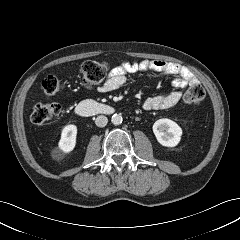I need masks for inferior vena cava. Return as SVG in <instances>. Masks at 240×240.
I'll use <instances>...</instances> for the list:
<instances>
[{
    "label": "inferior vena cava",
    "mask_w": 240,
    "mask_h": 240,
    "mask_svg": "<svg viewBox=\"0 0 240 240\" xmlns=\"http://www.w3.org/2000/svg\"><path fill=\"white\" fill-rule=\"evenodd\" d=\"M107 123H108V119L104 115H100L95 119V124L98 127H105L107 125Z\"/></svg>",
    "instance_id": "obj_1"
}]
</instances>
